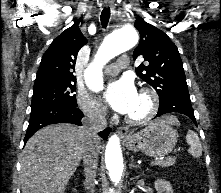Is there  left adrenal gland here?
Returning <instances> with one entry per match:
<instances>
[{
	"instance_id": "a2214340",
	"label": "left adrenal gland",
	"mask_w": 221,
	"mask_h": 193,
	"mask_svg": "<svg viewBox=\"0 0 221 193\" xmlns=\"http://www.w3.org/2000/svg\"><path fill=\"white\" fill-rule=\"evenodd\" d=\"M139 166L138 165H135L134 164V159H133V156H131V162L129 164V168L130 169H133V168H138Z\"/></svg>"
}]
</instances>
